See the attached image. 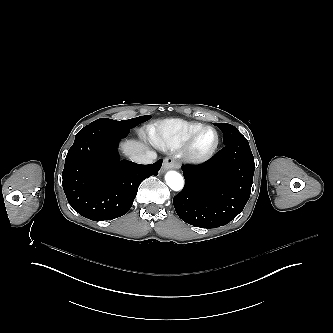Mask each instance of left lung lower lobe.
Here are the masks:
<instances>
[{
	"label": "left lung lower lobe",
	"mask_w": 333,
	"mask_h": 333,
	"mask_svg": "<svg viewBox=\"0 0 333 333\" xmlns=\"http://www.w3.org/2000/svg\"><path fill=\"white\" fill-rule=\"evenodd\" d=\"M183 190L174 199L178 216L188 224L215 228L232 221L246 205L255 170L246 138L225 145L197 166H182Z\"/></svg>",
	"instance_id": "left-lung-lower-lobe-1"
}]
</instances>
